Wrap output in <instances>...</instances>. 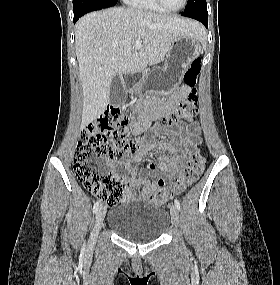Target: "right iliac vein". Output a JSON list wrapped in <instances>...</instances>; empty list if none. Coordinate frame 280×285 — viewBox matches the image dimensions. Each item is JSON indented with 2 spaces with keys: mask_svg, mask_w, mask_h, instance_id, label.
I'll return each instance as SVG.
<instances>
[{
  "mask_svg": "<svg viewBox=\"0 0 280 285\" xmlns=\"http://www.w3.org/2000/svg\"><path fill=\"white\" fill-rule=\"evenodd\" d=\"M105 214H106V207L100 206V208L97 210V213H96V220H95L94 228H93L91 238H90L91 245H94L97 240L99 231L102 227V224L105 218Z\"/></svg>",
  "mask_w": 280,
  "mask_h": 285,
  "instance_id": "right-iliac-vein-1",
  "label": "right iliac vein"
}]
</instances>
